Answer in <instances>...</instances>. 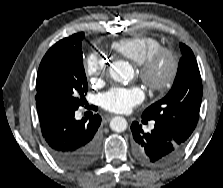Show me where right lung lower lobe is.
<instances>
[{
	"label": "right lung lower lobe",
	"instance_id": "98d812e1",
	"mask_svg": "<svg viewBox=\"0 0 223 188\" xmlns=\"http://www.w3.org/2000/svg\"><path fill=\"white\" fill-rule=\"evenodd\" d=\"M41 132L52 157L64 168L80 170L93 164L100 153L101 117L75 120L76 106L37 103Z\"/></svg>",
	"mask_w": 223,
	"mask_h": 188
}]
</instances>
